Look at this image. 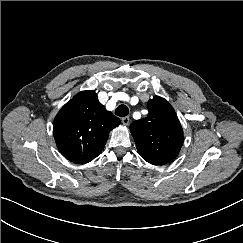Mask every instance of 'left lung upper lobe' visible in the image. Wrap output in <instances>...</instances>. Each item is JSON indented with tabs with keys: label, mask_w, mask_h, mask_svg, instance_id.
<instances>
[{
	"label": "left lung upper lobe",
	"mask_w": 243,
	"mask_h": 243,
	"mask_svg": "<svg viewBox=\"0 0 243 243\" xmlns=\"http://www.w3.org/2000/svg\"><path fill=\"white\" fill-rule=\"evenodd\" d=\"M149 114L130 125L131 134L141 157L153 165L173 161L184 141L177 115L164 98L154 96L148 101Z\"/></svg>",
	"instance_id": "obj_1"
}]
</instances>
